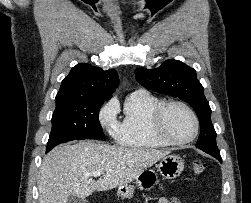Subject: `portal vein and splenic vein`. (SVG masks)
Masks as SVG:
<instances>
[{
  "mask_svg": "<svg viewBox=\"0 0 251 203\" xmlns=\"http://www.w3.org/2000/svg\"><path fill=\"white\" fill-rule=\"evenodd\" d=\"M101 175H102V171H96V172H93L91 174V176H93V177H98V176H101Z\"/></svg>",
  "mask_w": 251,
  "mask_h": 203,
  "instance_id": "18ae733b",
  "label": "portal vein and splenic vein"
}]
</instances>
